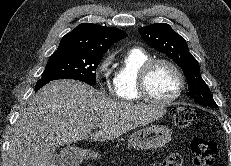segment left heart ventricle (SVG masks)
Instances as JSON below:
<instances>
[{
	"label": "left heart ventricle",
	"instance_id": "b2bd125f",
	"mask_svg": "<svg viewBox=\"0 0 231 166\" xmlns=\"http://www.w3.org/2000/svg\"><path fill=\"white\" fill-rule=\"evenodd\" d=\"M178 88V79L174 71L165 64L156 65L148 77L150 94L157 99L171 97Z\"/></svg>",
	"mask_w": 231,
	"mask_h": 166
}]
</instances>
